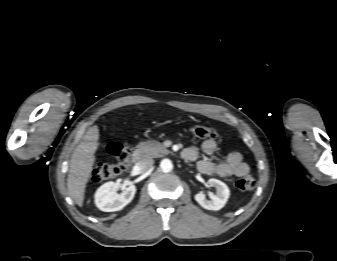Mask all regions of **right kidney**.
<instances>
[{"instance_id": "1", "label": "right kidney", "mask_w": 337, "mask_h": 261, "mask_svg": "<svg viewBox=\"0 0 337 261\" xmlns=\"http://www.w3.org/2000/svg\"><path fill=\"white\" fill-rule=\"evenodd\" d=\"M135 193V185H130L121 194H117V184L107 182L96 191L95 204L104 212L119 211L132 201Z\"/></svg>"}]
</instances>
